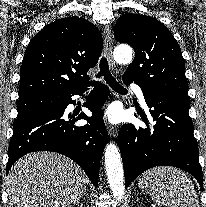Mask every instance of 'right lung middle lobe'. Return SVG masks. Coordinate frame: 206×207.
I'll return each mask as SVG.
<instances>
[{
  "label": "right lung middle lobe",
  "mask_w": 206,
  "mask_h": 207,
  "mask_svg": "<svg viewBox=\"0 0 206 207\" xmlns=\"http://www.w3.org/2000/svg\"><path fill=\"white\" fill-rule=\"evenodd\" d=\"M61 103L62 97L58 94H34L20 97L17 118L46 110H58L61 108Z\"/></svg>",
  "instance_id": "1"
}]
</instances>
